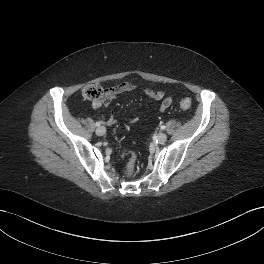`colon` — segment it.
I'll return each mask as SVG.
<instances>
[{
	"mask_svg": "<svg viewBox=\"0 0 264 264\" xmlns=\"http://www.w3.org/2000/svg\"><path fill=\"white\" fill-rule=\"evenodd\" d=\"M105 90L99 85H89L86 86L82 90V96L86 100H99L104 96ZM192 105V101L190 98H183L180 101V106L184 109L190 108ZM126 155L129 157V163H128V173L132 174L134 172L137 156L136 153L133 151L126 152Z\"/></svg>",
	"mask_w": 264,
	"mask_h": 264,
	"instance_id": "colon-1",
	"label": "colon"
}]
</instances>
